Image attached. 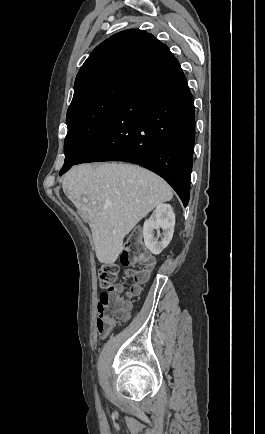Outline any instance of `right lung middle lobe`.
<instances>
[{
  "instance_id": "1",
  "label": "right lung middle lobe",
  "mask_w": 265,
  "mask_h": 434,
  "mask_svg": "<svg viewBox=\"0 0 265 434\" xmlns=\"http://www.w3.org/2000/svg\"><path fill=\"white\" fill-rule=\"evenodd\" d=\"M134 76L110 75L74 88L66 117L68 133L60 175L83 156L104 130Z\"/></svg>"
}]
</instances>
